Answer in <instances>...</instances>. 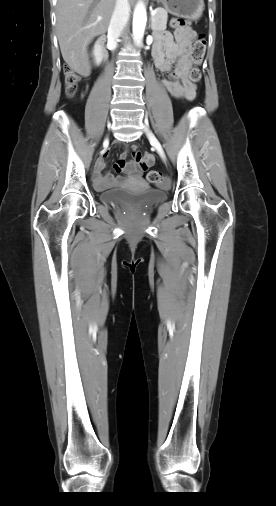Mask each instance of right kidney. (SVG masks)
I'll use <instances>...</instances> for the list:
<instances>
[{
    "label": "right kidney",
    "mask_w": 276,
    "mask_h": 506,
    "mask_svg": "<svg viewBox=\"0 0 276 506\" xmlns=\"http://www.w3.org/2000/svg\"><path fill=\"white\" fill-rule=\"evenodd\" d=\"M94 56H95V62L98 64L100 63L101 59H102V54L100 52V48L99 47H95L94 49Z\"/></svg>",
    "instance_id": "right-kidney-1"
}]
</instances>
